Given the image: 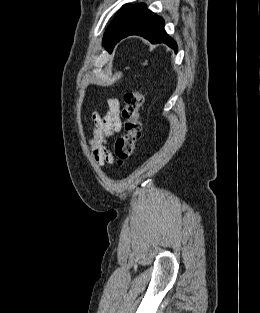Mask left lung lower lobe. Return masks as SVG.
I'll use <instances>...</instances> for the list:
<instances>
[{
	"label": "left lung lower lobe",
	"mask_w": 260,
	"mask_h": 313,
	"mask_svg": "<svg viewBox=\"0 0 260 313\" xmlns=\"http://www.w3.org/2000/svg\"><path fill=\"white\" fill-rule=\"evenodd\" d=\"M129 35H140L154 44L165 43L177 50L175 41L164 30V20L148 9L123 33L118 42Z\"/></svg>",
	"instance_id": "1"
}]
</instances>
